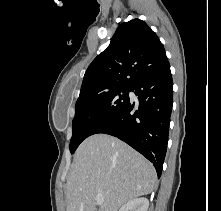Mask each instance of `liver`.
I'll return each mask as SVG.
<instances>
[{
	"label": "liver",
	"mask_w": 221,
	"mask_h": 211,
	"mask_svg": "<svg viewBox=\"0 0 221 211\" xmlns=\"http://www.w3.org/2000/svg\"><path fill=\"white\" fill-rule=\"evenodd\" d=\"M157 187L154 166L121 140L96 134L75 152L66 184V211H96V196L104 197L98 211H117Z\"/></svg>",
	"instance_id": "6515ba94"
}]
</instances>
